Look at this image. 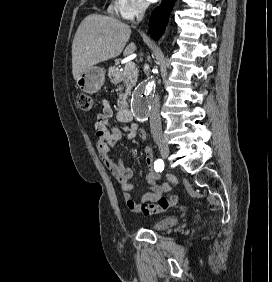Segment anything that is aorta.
Instances as JSON below:
<instances>
[{"label":"aorta","mask_w":272,"mask_h":282,"mask_svg":"<svg viewBox=\"0 0 272 282\" xmlns=\"http://www.w3.org/2000/svg\"><path fill=\"white\" fill-rule=\"evenodd\" d=\"M153 88L154 81H147L138 89L133 101V109L137 115L142 116L146 113L148 100Z\"/></svg>","instance_id":"aorta-1"}]
</instances>
